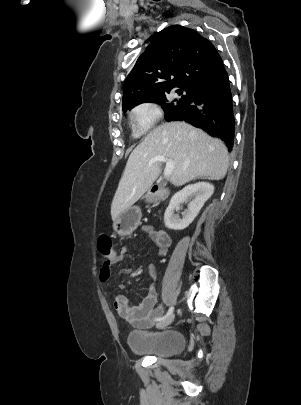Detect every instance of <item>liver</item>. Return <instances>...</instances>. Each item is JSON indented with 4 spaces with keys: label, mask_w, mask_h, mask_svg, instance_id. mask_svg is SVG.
<instances>
[{
    "label": "liver",
    "mask_w": 301,
    "mask_h": 405,
    "mask_svg": "<svg viewBox=\"0 0 301 405\" xmlns=\"http://www.w3.org/2000/svg\"><path fill=\"white\" fill-rule=\"evenodd\" d=\"M164 155L174 162L170 182L182 186L192 180L223 179L229 166L226 146L219 139L185 122L164 123L153 129L130 154L111 204L115 221L151 187L161 165L149 161Z\"/></svg>",
    "instance_id": "liver-1"
}]
</instances>
